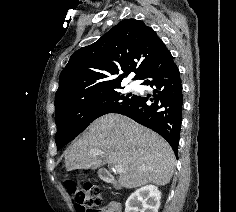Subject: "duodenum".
<instances>
[{
    "mask_svg": "<svg viewBox=\"0 0 236 212\" xmlns=\"http://www.w3.org/2000/svg\"><path fill=\"white\" fill-rule=\"evenodd\" d=\"M100 177L105 181V182H111L112 181V177L111 174L109 173V171L102 169L100 171Z\"/></svg>",
    "mask_w": 236,
    "mask_h": 212,
    "instance_id": "duodenum-1",
    "label": "duodenum"
}]
</instances>
